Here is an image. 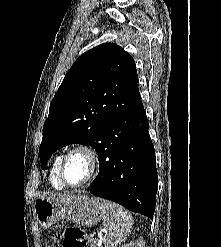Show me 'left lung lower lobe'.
Returning <instances> with one entry per match:
<instances>
[{
    "mask_svg": "<svg viewBox=\"0 0 221 247\" xmlns=\"http://www.w3.org/2000/svg\"><path fill=\"white\" fill-rule=\"evenodd\" d=\"M144 107L113 119L103 130L99 174L90 192L153 218L158 177Z\"/></svg>",
    "mask_w": 221,
    "mask_h": 247,
    "instance_id": "0a47b994",
    "label": "left lung lower lobe"
}]
</instances>
